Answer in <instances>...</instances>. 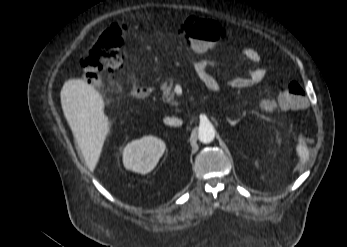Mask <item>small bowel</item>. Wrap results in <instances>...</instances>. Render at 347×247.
<instances>
[{
    "mask_svg": "<svg viewBox=\"0 0 347 247\" xmlns=\"http://www.w3.org/2000/svg\"><path fill=\"white\" fill-rule=\"evenodd\" d=\"M199 55L205 52H198ZM244 59L250 63L253 68L247 75H235L232 76L228 83L231 87L237 89L248 88L260 83L266 76V69L261 65V55L254 48H247L243 52ZM195 71L203 82V84L211 91H217L219 89V83L213 74L210 72V68L217 66L216 62L207 58H198L194 62Z\"/></svg>",
    "mask_w": 347,
    "mask_h": 247,
    "instance_id": "1",
    "label": "small bowel"
}]
</instances>
